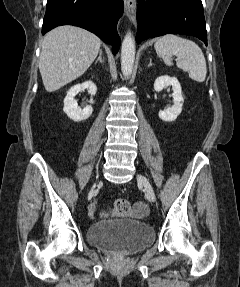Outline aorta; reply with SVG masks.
Masks as SVG:
<instances>
[{"mask_svg": "<svg viewBox=\"0 0 240 287\" xmlns=\"http://www.w3.org/2000/svg\"><path fill=\"white\" fill-rule=\"evenodd\" d=\"M135 60V39L131 32H128L121 46V70L125 78H128L133 70Z\"/></svg>", "mask_w": 240, "mask_h": 287, "instance_id": "1", "label": "aorta"}]
</instances>
